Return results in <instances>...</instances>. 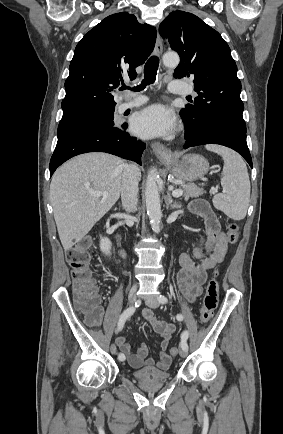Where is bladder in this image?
Instances as JSON below:
<instances>
[{
  "label": "bladder",
  "mask_w": 283,
  "mask_h": 434,
  "mask_svg": "<svg viewBox=\"0 0 283 434\" xmlns=\"http://www.w3.org/2000/svg\"><path fill=\"white\" fill-rule=\"evenodd\" d=\"M134 379L142 382L167 381L171 378V373L160 370L154 366H145L132 371Z\"/></svg>",
  "instance_id": "bladder-1"
}]
</instances>
